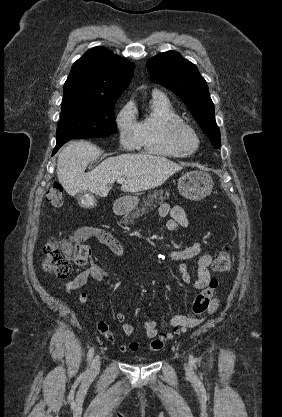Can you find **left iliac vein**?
I'll return each mask as SVG.
<instances>
[{
	"label": "left iliac vein",
	"mask_w": 282,
	"mask_h": 417,
	"mask_svg": "<svg viewBox=\"0 0 282 417\" xmlns=\"http://www.w3.org/2000/svg\"><path fill=\"white\" fill-rule=\"evenodd\" d=\"M185 371L186 373L190 374V368L187 364H185Z\"/></svg>",
	"instance_id": "left-iliac-vein-1"
}]
</instances>
